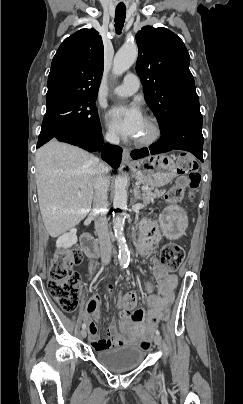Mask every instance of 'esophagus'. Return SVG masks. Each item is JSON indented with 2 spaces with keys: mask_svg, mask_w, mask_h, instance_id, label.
I'll list each match as a JSON object with an SVG mask.
<instances>
[{
  "mask_svg": "<svg viewBox=\"0 0 243 404\" xmlns=\"http://www.w3.org/2000/svg\"><path fill=\"white\" fill-rule=\"evenodd\" d=\"M130 159V149L127 147L123 148V163H129Z\"/></svg>",
  "mask_w": 243,
  "mask_h": 404,
  "instance_id": "esophagus-1",
  "label": "esophagus"
}]
</instances>
